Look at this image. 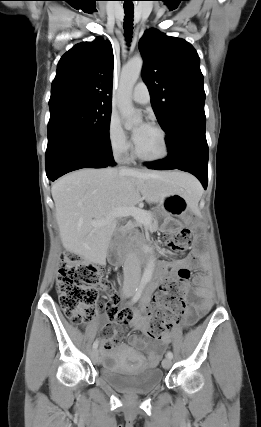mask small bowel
Masks as SVG:
<instances>
[{
	"label": "small bowel",
	"instance_id": "obj_1",
	"mask_svg": "<svg viewBox=\"0 0 261 427\" xmlns=\"http://www.w3.org/2000/svg\"><path fill=\"white\" fill-rule=\"evenodd\" d=\"M195 261L196 256L194 254H190L186 258L174 262H158V273L151 283L150 291L143 296L138 308L120 311L115 304L116 297L115 295H112V302H107L105 304V309L108 313L107 318L112 322V324L102 331L104 351L110 349L118 339L121 338L123 335L122 324L124 322H129L131 326L138 331H145L147 320L144 318L143 313L149 306L150 292H153L157 288L159 291H163L165 281L174 276V273L172 272L174 268H193L195 266ZM194 283L196 285L194 295L199 301L194 305V310L188 311L185 314V325H191L194 323L195 320L204 315L211 306L212 288L209 277L206 275H198L195 277ZM176 332L177 329L173 328L171 332L162 334L158 338V342L147 341L136 334L129 335V344L139 352H144L146 354V357H143L140 353L133 354V360L137 362L141 368H152L157 366L162 353L166 346L171 342Z\"/></svg>",
	"mask_w": 261,
	"mask_h": 427
}]
</instances>
